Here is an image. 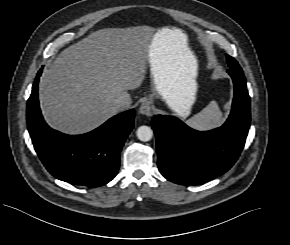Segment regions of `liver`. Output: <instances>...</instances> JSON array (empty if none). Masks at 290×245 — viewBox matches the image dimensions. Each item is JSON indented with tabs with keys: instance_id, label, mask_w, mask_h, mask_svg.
<instances>
[{
	"instance_id": "obj_1",
	"label": "liver",
	"mask_w": 290,
	"mask_h": 245,
	"mask_svg": "<svg viewBox=\"0 0 290 245\" xmlns=\"http://www.w3.org/2000/svg\"><path fill=\"white\" fill-rule=\"evenodd\" d=\"M155 36L171 86L196 77L198 64L186 34L164 28ZM153 38L139 28H108L64 49L40 81L39 100L48 123L65 133H84L119 112L114 108L117 99L129 107L128 90L144 80Z\"/></svg>"
}]
</instances>
